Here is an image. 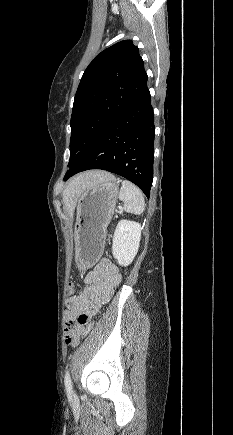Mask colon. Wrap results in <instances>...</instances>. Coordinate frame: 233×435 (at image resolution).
<instances>
[{"label": "colon", "instance_id": "colon-1", "mask_svg": "<svg viewBox=\"0 0 233 435\" xmlns=\"http://www.w3.org/2000/svg\"><path fill=\"white\" fill-rule=\"evenodd\" d=\"M68 293H74V288L71 284L68 285ZM65 340L67 344H76V337L73 334L72 328L69 325L65 326Z\"/></svg>", "mask_w": 233, "mask_h": 435}]
</instances>
